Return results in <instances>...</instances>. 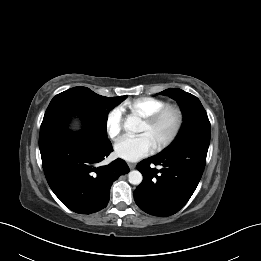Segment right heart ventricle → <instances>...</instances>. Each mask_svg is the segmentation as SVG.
<instances>
[{
	"instance_id": "e07e8e85",
	"label": "right heart ventricle",
	"mask_w": 261,
	"mask_h": 261,
	"mask_svg": "<svg viewBox=\"0 0 261 261\" xmlns=\"http://www.w3.org/2000/svg\"><path fill=\"white\" fill-rule=\"evenodd\" d=\"M165 105H167V102L160 98L140 97L125 101L122 109L132 116L145 118Z\"/></svg>"
}]
</instances>
